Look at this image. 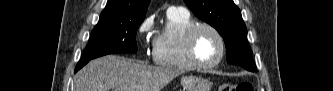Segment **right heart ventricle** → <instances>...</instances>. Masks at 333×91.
I'll return each instance as SVG.
<instances>
[{"mask_svg":"<svg viewBox=\"0 0 333 91\" xmlns=\"http://www.w3.org/2000/svg\"><path fill=\"white\" fill-rule=\"evenodd\" d=\"M196 24L187 11H168L166 21L153 46V60L163 68L191 71L197 67L186 49V34Z\"/></svg>","mask_w":333,"mask_h":91,"instance_id":"1","label":"right heart ventricle"}]
</instances>
